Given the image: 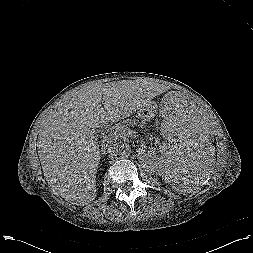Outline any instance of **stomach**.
<instances>
[{"instance_id":"0dacf381","label":"stomach","mask_w":253,"mask_h":253,"mask_svg":"<svg viewBox=\"0 0 253 253\" xmlns=\"http://www.w3.org/2000/svg\"><path fill=\"white\" fill-rule=\"evenodd\" d=\"M154 116V107L152 104H146L138 110V117L141 120L148 121Z\"/></svg>"}]
</instances>
